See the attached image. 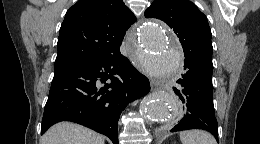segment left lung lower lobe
Returning <instances> with one entry per match:
<instances>
[{"label": "left lung lower lobe", "instance_id": "left-lung-lower-lobe-1", "mask_svg": "<svg viewBox=\"0 0 260 144\" xmlns=\"http://www.w3.org/2000/svg\"><path fill=\"white\" fill-rule=\"evenodd\" d=\"M186 73L174 89L180 99V121L171 132L203 129L211 132L218 142V123L214 113L212 72L192 62H184Z\"/></svg>", "mask_w": 260, "mask_h": 144}]
</instances>
